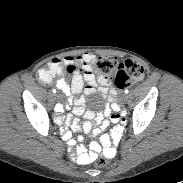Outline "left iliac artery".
<instances>
[{
    "mask_svg": "<svg viewBox=\"0 0 183 183\" xmlns=\"http://www.w3.org/2000/svg\"><path fill=\"white\" fill-rule=\"evenodd\" d=\"M126 94L129 92V90L128 89H125V91H124Z\"/></svg>",
    "mask_w": 183,
    "mask_h": 183,
    "instance_id": "44dca946",
    "label": "left iliac artery"
}]
</instances>
